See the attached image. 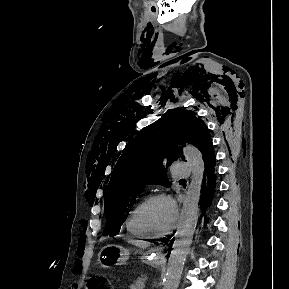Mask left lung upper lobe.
I'll use <instances>...</instances> for the list:
<instances>
[{
	"label": "left lung upper lobe",
	"mask_w": 289,
	"mask_h": 289,
	"mask_svg": "<svg viewBox=\"0 0 289 289\" xmlns=\"http://www.w3.org/2000/svg\"><path fill=\"white\" fill-rule=\"evenodd\" d=\"M141 133L129 141L108 186L104 188V236L120 232L143 186L153 183L166 186L170 183L166 169L182 153L181 144L187 142L198 147L203 160L213 150L205 123L193 111H170L163 121L159 120Z\"/></svg>",
	"instance_id": "obj_1"
}]
</instances>
